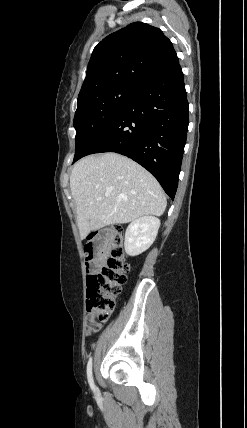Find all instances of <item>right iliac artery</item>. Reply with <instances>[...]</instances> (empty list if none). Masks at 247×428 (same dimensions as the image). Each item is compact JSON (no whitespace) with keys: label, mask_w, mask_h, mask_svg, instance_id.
Returning a JSON list of instances; mask_svg holds the SVG:
<instances>
[{"label":"right iliac artery","mask_w":247,"mask_h":428,"mask_svg":"<svg viewBox=\"0 0 247 428\" xmlns=\"http://www.w3.org/2000/svg\"><path fill=\"white\" fill-rule=\"evenodd\" d=\"M87 378L89 385L92 390H94V381H93V375H92V357H90L88 364H87Z\"/></svg>","instance_id":"82829eb1"}]
</instances>
